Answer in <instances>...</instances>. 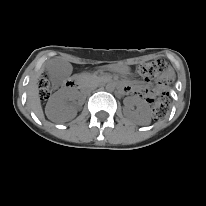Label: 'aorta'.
<instances>
[{"instance_id":"762f6f07","label":"aorta","mask_w":206,"mask_h":206,"mask_svg":"<svg viewBox=\"0 0 206 206\" xmlns=\"http://www.w3.org/2000/svg\"><path fill=\"white\" fill-rule=\"evenodd\" d=\"M106 90L109 91V92L114 91V90H115V85H114V83H111V82L107 83V84H106Z\"/></svg>"}]
</instances>
